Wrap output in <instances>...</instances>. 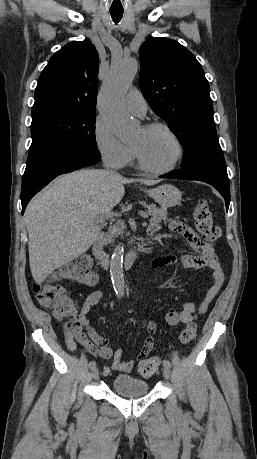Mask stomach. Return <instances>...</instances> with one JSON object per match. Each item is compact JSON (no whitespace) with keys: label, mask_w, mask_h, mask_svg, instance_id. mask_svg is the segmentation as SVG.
Segmentation results:
<instances>
[{"label":"stomach","mask_w":257,"mask_h":459,"mask_svg":"<svg viewBox=\"0 0 257 459\" xmlns=\"http://www.w3.org/2000/svg\"><path fill=\"white\" fill-rule=\"evenodd\" d=\"M146 191L158 204L163 207H173L180 203L182 193L171 184H164Z\"/></svg>","instance_id":"0dacf381"}]
</instances>
